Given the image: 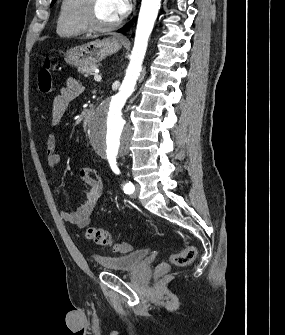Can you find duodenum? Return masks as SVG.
I'll return each instance as SVG.
<instances>
[{
	"label": "duodenum",
	"instance_id": "obj_1",
	"mask_svg": "<svg viewBox=\"0 0 285 335\" xmlns=\"http://www.w3.org/2000/svg\"><path fill=\"white\" fill-rule=\"evenodd\" d=\"M94 112V108L93 107H90L88 108L85 113H84V117H83V126L84 127H87L88 125V121L89 119L91 118L92 114Z\"/></svg>",
	"mask_w": 285,
	"mask_h": 335
}]
</instances>
